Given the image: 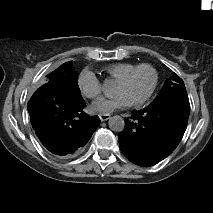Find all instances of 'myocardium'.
<instances>
[{"label": "myocardium", "mask_w": 213, "mask_h": 213, "mask_svg": "<svg viewBox=\"0 0 213 213\" xmlns=\"http://www.w3.org/2000/svg\"><path fill=\"white\" fill-rule=\"evenodd\" d=\"M142 71H148L151 74V84L147 90V92L145 94H143L142 96L135 98V99H130V103L132 105H139L144 103L154 92L155 88H156V84H157V73L156 70L149 66V65H141L136 67L135 69H133L129 74H127L126 76L122 77L120 80L117 81V84H127L129 83L138 73L142 72Z\"/></svg>", "instance_id": "obj_1"}]
</instances>
